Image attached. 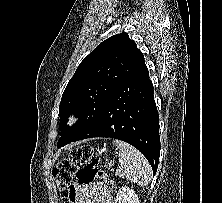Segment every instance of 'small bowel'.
Returning <instances> with one entry per match:
<instances>
[{"label": "small bowel", "mask_w": 222, "mask_h": 203, "mask_svg": "<svg viewBox=\"0 0 222 203\" xmlns=\"http://www.w3.org/2000/svg\"><path fill=\"white\" fill-rule=\"evenodd\" d=\"M70 203H110V190L102 184L77 183L71 187Z\"/></svg>", "instance_id": "1"}]
</instances>
